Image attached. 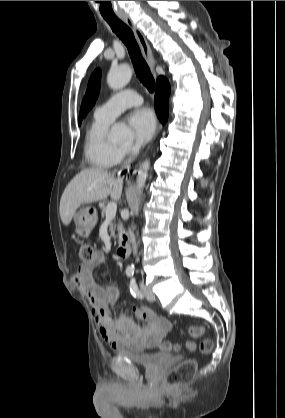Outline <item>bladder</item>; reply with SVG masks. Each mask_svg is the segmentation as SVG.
<instances>
[{
    "label": "bladder",
    "instance_id": "bladder-1",
    "mask_svg": "<svg viewBox=\"0 0 285 418\" xmlns=\"http://www.w3.org/2000/svg\"><path fill=\"white\" fill-rule=\"evenodd\" d=\"M117 355L125 356L135 364L146 368L159 366L170 358L167 352H137L128 347L118 349Z\"/></svg>",
    "mask_w": 285,
    "mask_h": 418
}]
</instances>
